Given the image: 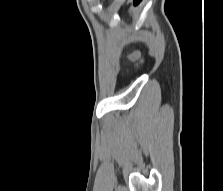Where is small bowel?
Instances as JSON below:
<instances>
[{"instance_id": "obj_1", "label": "small bowel", "mask_w": 223, "mask_h": 191, "mask_svg": "<svg viewBox=\"0 0 223 191\" xmlns=\"http://www.w3.org/2000/svg\"><path fill=\"white\" fill-rule=\"evenodd\" d=\"M130 58H131L132 60L137 61V60L140 59V54L137 53V52H133V53L130 54Z\"/></svg>"}]
</instances>
